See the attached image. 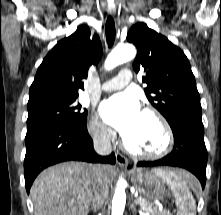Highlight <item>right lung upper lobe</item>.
Wrapping results in <instances>:
<instances>
[{
  "label": "right lung upper lobe",
  "instance_id": "1",
  "mask_svg": "<svg viewBox=\"0 0 221 215\" xmlns=\"http://www.w3.org/2000/svg\"><path fill=\"white\" fill-rule=\"evenodd\" d=\"M102 46L97 34L90 39V30L80 26L69 37L60 40L46 55L30 87L28 106L78 97L84 89L90 65L97 64Z\"/></svg>",
  "mask_w": 221,
  "mask_h": 215
}]
</instances>
